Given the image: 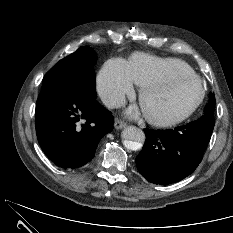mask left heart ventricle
<instances>
[{
	"label": "left heart ventricle",
	"mask_w": 233,
	"mask_h": 233,
	"mask_svg": "<svg viewBox=\"0 0 233 233\" xmlns=\"http://www.w3.org/2000/svg\"><path fill=\"white\" fill-rule=\"evenodd\" d=\"M201 94L200 84L186 79L148 91L142 101L145 112L161 118H175L188 111Z\"/></svg>",
	"instance_id": "left-heart-ventricle-1"
}]
</instances>
